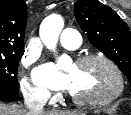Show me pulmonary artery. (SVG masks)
Returning a JSON list of instances; mask_svg holds the SVG:
<instances>
[{
	"label": "pulmonary artery",
	"mask_w": 131,
	"mask_h": 115,
	"mask_svg": "<svg viewBox=\"0 0 131 115\" xmlns=\"http://www.w3.org/2000/svg\"><path fill=\"white\" fill-rule=\"evenodd\" d=\"M59 42L66 49H77L80 46L81 37L74 29H65L60 35Z\"/></svg>",
	"instance_id": "obj_1"
}]
</instances>
